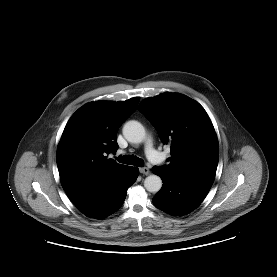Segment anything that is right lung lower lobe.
Returning <instances> with one entry per match:
<instances>
[{"mask_svg":"<svg viewBox=\"0 0 277 277\" xmlns=\"http://www.w3.org/2000/svg\"><path fill=\"white\" fill-rule=\"evenodd\" d=\"M138 175V168L126 166L97 191L73 203L87 217L103 219L121 207L127 189L133 185Z\"/></svg>","mask_w":277,"mask_h":277,"instance_id":"1","label":"right lung lower lobe"}]
</instances>
